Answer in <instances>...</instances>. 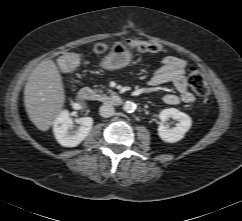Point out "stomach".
Segmentation results:
<instances>
[{
  "instance_id": "stomach-1",
  "label": "stomach",
  "mask_w": 242,
  "mask_h": 221,
  "mask_svg": "<svg viewBox=\"0 0 242 221\" xmlns=\"http://www.w3.org/2000/svg\"><path fill=\"white\" fill-rule=\"evenodd\" d=\"M132 51L126 42H115L109 52L100 62L105 70H118L128 66L132 60Z\"/></svg>"
}]
</instances>
